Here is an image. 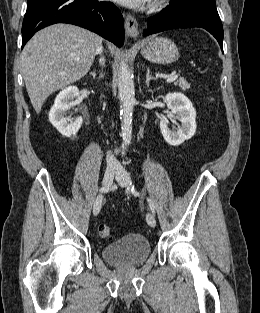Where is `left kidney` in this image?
I'll return each mask as SVG.
<instances>
[{
  "mask_svg": "<svg viewBox=\"0 0 260 313\" xmlns=\"http://www.w3.org/2000/svg\"><path fill=\"white\" fill-rule=\"evenodd\" d=\"M168 109L181 122L178 128H169L167 120L160 121V130L165 141L178 146L189 140L196 131V111L191 101L182 93H169L165 97Z\"/></svg>",
  "mask_w": 260,
  "mask_h": 313,
  "instance_id": "5707ae66",
  "label": "left kidney"
}]
</instances>
